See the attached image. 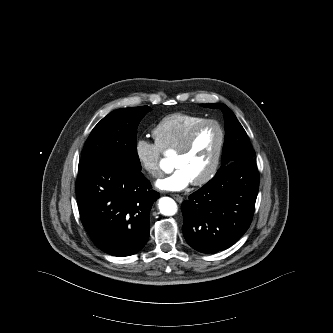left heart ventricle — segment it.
<instances>
[{
  "label": "left heart ventricle",
  "mask_w": 333,
  "mask_h": 333,
  "mask_svg": "<svg viewBox=\"0 0 333 333\" xmlns=\"http://www.w3.org/2000/svg\"><path fill=\"white\" fill-rule=\"evenodd\" d=\"M219 143L216 126L207 125L197 134L191 150L184 155L176 154L174 167L183 168L192 181L203 176L213 163Z\"/></svg>",
  "instance_id": "obj_1"
}]
</instances>
